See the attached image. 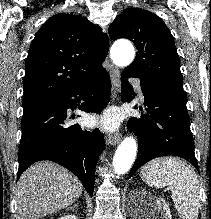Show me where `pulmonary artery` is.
I'll list each match as a JSON object with an SVG mask.
<instances>
[{
	"label": "pulmonary artery",
	"instance_id": "e3ab8cb5",
	"mask_svg": "<svg viewBox=\"0 0 211 219\" xmlns=\"http://www.w3.org/2000/svg\"><path fill=\"white\" fill-rule=\"evenodd\" d=\"M134 84H135V87H136L137 91L139 92V96H140L141 100H143L144 97H143V94H142V91H141L140 82L138 80H134Z\"/></svg>",
	"mask_w": 211,
	"mask_h": 219
}]
</instances>
